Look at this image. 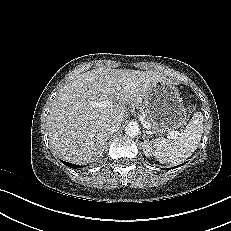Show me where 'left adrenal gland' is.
<instances>
[{
    "instance_id": "obj_1",
    "label": "left adrenal gland",
    "mask_w": 231,
    "mask_h": 231,
    "mask_svg": "<svg viewBox=\"0 0 231 231\" xmlns=\"http://www.w3.org/2000/svg\"><path fill=\"white\" fill-rule=\"evenodd\" d=\"M145 137H146V134H145V132H144V134H143V140L145 141Z\"/></svg>"
}]
</instances>
